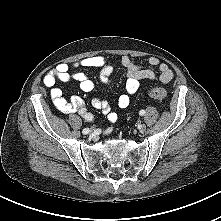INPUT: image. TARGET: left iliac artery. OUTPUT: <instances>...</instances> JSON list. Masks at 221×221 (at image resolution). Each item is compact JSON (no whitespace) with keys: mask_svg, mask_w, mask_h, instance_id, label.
<instances>
[{"mask_svg":"<svg viewBox=\"0 0 221 221\" xmlns=\"http://www.w3.org/2000/svg\"><path fill=\"white\" fill-rule=\"evenodd\" d=\"M139 114H140L141 116H143V115L145 114V111H144V110H141V111L139 112Z\"/></svg>","mask_w":221,"mask_h":221,"instance_id":"44dca946","label":"left iliac artery"}]
</instances>
